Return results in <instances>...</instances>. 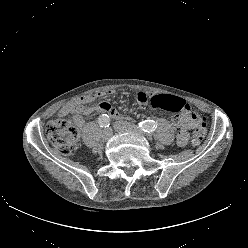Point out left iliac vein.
Returning a JSON list of instances; mask_svg holds the SVG:
<instances>
[{
	"label": "left iliac vein",
	"mask_w": 248,
	"mask_h": 248,
	"mask_svg": "<svg viewBox=\"0 0 248 248\" xmlns=\"http://www.w3.org/2000/svg\"><path fill=\"white\" fill-rule=\"evenodd\" d=\"M113 127L118 132L133 131V132L142 134V132L140 130H137L136 128H133L130 125H128L127 123H124L121 121L115 122ZM145 136H147V138L149 137V135H145Z\"/></svg>",
	"instance_id": "left-iliac-vein-1"
}]
</instances>
